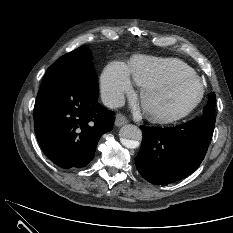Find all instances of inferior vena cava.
Returning a JSON list of instances; mask_svg holds the SVG:
<instances>
[{
	"label": "inferior vena cava",
	"instance_id": "inferior-vena-cava-1",
	"mask_svg": "<svg viewBox=\"0 0 233 233\" xmlns=\"http://www.w3.org/2000/svg\"><path fill=\"white\" fill-rule=\"evenodd\" d=\"M103 104L111 109L122 107L125 104L124 95L122 93L103 92L101 94Z\"/></svg>",
	"mask_w": 233,
	"mask_h": 233
}]
</instances>
